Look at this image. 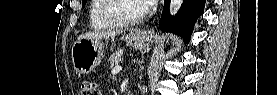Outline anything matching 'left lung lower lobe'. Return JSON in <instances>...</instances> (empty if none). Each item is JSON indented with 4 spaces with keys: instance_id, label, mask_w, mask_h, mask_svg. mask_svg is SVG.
Returning <instances> with one entry per match:
<instances>
[{
    "instance_id": "left-lung-lower-lobe-1",
    "label": "left lung lower lobe",
    "mask_w": 277,
    "mask_h": 95,
    "mask_svg": "<svg viewBox=\"0 0 277 95\" xmlns=\"http://www.w3.org/2000/svg\"><path fill=\"white\" fill-rule=\"evenodd\" d=\"M205 1L184 0L180 11L172 18L169 11L170 0H164L163 12L159 22L161 30L178 34L188 43L196 20L204 12Z\"/></svg>"
}]
</instances>
